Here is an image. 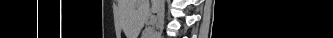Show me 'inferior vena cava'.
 Returning <instances> with one entry per match:
<instances>
[{"instance_id":"inferior-vena-cava-1","label":"inferior vena cava","mask_w":333,"mask_h":38,"mask_svg":"<svg viewBox=\"0 0 333 38\" xmlns=\"http://www.w3.org/2000/svg\"><path fill=\"white\" fill-rule=\"evenodd\" d=\"M158 14H157V18H158V25L162 26L163 22H164V0H158Z\"/></svg>"}]
</instances>
